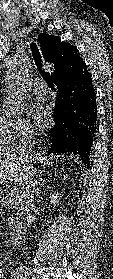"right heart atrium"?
<instances>
[{
    "mask_svg": "<svg viewBox=\"0 0 113 279\" xmlns=\"http://www.w3.org/2000/svg\"><path fill=\"white\" fill-rule=\"evenodd\" d=\"M34 131L30 122L25 118H15L12 121L13 139L24 138Z\"/></svg>",
    "mask_w": 113,
    "mask_h": 279,
    "instance_id": "1",
    "label": "right heart atrium"
}]
</instances>
